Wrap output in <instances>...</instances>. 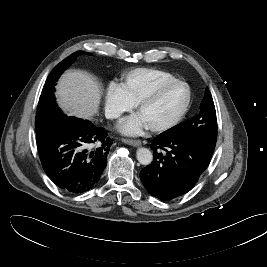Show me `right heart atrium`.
I'll use <instances>...</instances> for the list:
<instances>
[{
  "instance_id": "1",
  "label": "right heart atrium",
  "mask_w": 267,
  "mask_h": 267,
  "mask_svg": "<svg viewBox=\"0 0 267 267\" xmlns=\"http://www.w3.org/2000/svg\"><path fill=\"white\" fill-rule=\"evenodd\" d=\"M135 103L131 101L122 84L111 83L105 94V114L109 119H118L123 113L132 110Z\"/></svg>"
}]
</instances>
